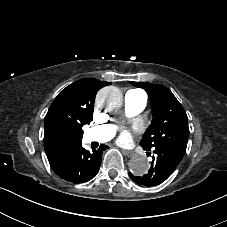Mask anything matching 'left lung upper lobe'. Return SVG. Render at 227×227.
<instances>
[{"instance_id": "5c2ea615", "label": "left lung upper lobe", "mask_w": 227, "mask_h": 227, "mask_svg": "<svg viewBox=\"0 0 227 227\" xmlns=\"http://www.w3.org/2000/svg\"><path fill=\"white\" fill-rule=\"evenodd\" d=\"M135 86L148 93L153 114L152 123L144 133L140 145L145 150L167 149L183 156L189 136L188 118L183 106L163 85L137 82Z\"/></svg>"}]
</instances>
